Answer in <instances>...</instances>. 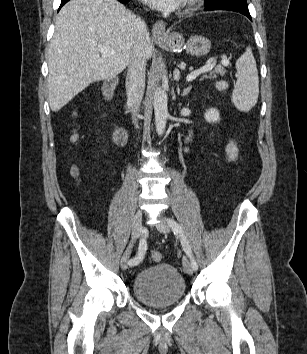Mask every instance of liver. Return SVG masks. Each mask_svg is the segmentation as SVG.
<instances>
[{
  "label": "liver",
  "instance_id": "liver-1",
  "mask_svg": "<svg viewBox=\"0 0 307 354\" xmlns=\"http://www.w3.org/2000/svg\"><path fill=\"white\" fill-rule=\"evenodd\" d=\"M136 16L116 0H71L57 15L48 51L49 105L59 111L91 83L113 78L131 59L136 43ZM115 51L101 56L98 46ZM153 53L145 43L146 59Z\"/></svg>",
  "mask_w": 307,
  "mask_h": 354
}]
</instances>
